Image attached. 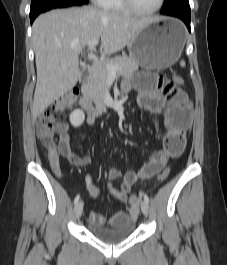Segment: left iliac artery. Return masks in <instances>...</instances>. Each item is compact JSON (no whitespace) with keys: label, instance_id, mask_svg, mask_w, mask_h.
<instances>
[{"label":"left iliac artery","instance_id":"obj_1","mask_svg":"<svg viewBox=\"0 0 227 265\" xmlns=\"http://www.w3.org/2000/svg\"><path fill=\"white\" fill-rule=\"evenodd\" d=\"M144 201L149 203V197L147 196V194H144Z\"/></svg>","mask_w":227,"mask_h":265}]
</instances>
